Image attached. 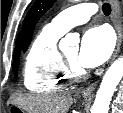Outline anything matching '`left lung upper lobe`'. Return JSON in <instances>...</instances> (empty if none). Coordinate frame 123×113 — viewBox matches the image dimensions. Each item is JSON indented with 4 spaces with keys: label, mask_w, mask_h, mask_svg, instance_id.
Wrapping results in <instances>:
<instances>
[{
    "label": "left lung upper lobe",
    "mask_w": 123,
    "mask_h": 113,
    "mask_svg": "<svg viewBox=\"0 0 123 113\" xmlns=\"http://www.w3.org/2000/svg\"><path fill=\"white\" fill-rule=\"evenodd\" d=\"M56 0H36L23 22V51L31 42L34 26Z\"/></svg>",
    "instance_id": "5c2ea615"
}]
</instances>
